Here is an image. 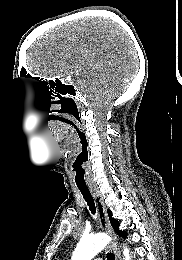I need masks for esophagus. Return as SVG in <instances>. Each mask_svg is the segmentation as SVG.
Returning <instances> with one entry per match:
<instances>
[{
  "mask_svg": "<svg viewBox=\"0 0 182 260\" xmlns=\"http://www.w3.org/2000/svg\"><path fill=\"white\" fill-rule=\"evenodd\" d=\"M91 191L93 193L95 203L97 206L98 217H99V222H100L101 228L114 237V241L111 242L110 248L113 250L116 260H121L120 251L117 248L116 242H115L116 236H115L113 229L110 225V222L108 220L104 202H103L102 198L100 197L98 191H96L94 189H92Z\"/></svg>",
  "mask_w": 182,
  "mask_h": 260,
  "instance_id": "obj_1",
  "label": "esophagus"
}]
</instances>
